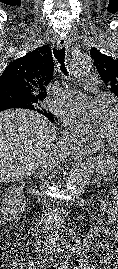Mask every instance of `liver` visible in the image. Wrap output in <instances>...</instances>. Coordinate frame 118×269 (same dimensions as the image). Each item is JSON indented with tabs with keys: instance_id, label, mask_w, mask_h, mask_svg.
I'll list each match as a JSON object with an SVG mask.
<instances>
[{
	"instance_id": "liver-1",
	"label": "liver",
	"mask_w": 118,
	"mask_h": 269,
	"mask_svg": "<svg viewBox=\"0 0 118 269\" xmlns=\"http://www.w3.org/2000/svg\"><path fill=\"white\" fill-rule=\"evenodd\" d=\"M55 126L26 109L0 112V184L30 176L54 149Z\"/></svg>"
}]
</instances>
